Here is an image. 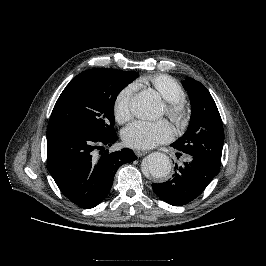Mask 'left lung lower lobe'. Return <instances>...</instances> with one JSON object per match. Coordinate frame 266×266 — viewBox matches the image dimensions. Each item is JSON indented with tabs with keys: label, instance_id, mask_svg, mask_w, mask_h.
I'll return each instance as SVG.
<instances>
[{
	"label": "left lung lower lobe",
	"instance_id": "obj_1",
	"mask_svg": "<svg viewBox=\"0 0 266 266\" xmlns=\"http://www.w3.org/2000/svg\"><path fill=\"white\" fill-rule=\"evenodd\" d=\"M175 170L171 180L152 184V188L165 202L180 206L198 197L219 173L220 166L198 156L190 155L187 162L180 167L176 165Z\"/></svg>",
	"mask_w": 266,
	"mask_h": 266
}]
</instances>
